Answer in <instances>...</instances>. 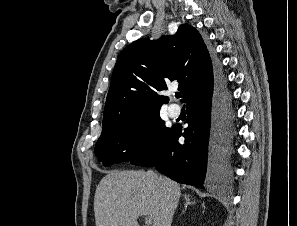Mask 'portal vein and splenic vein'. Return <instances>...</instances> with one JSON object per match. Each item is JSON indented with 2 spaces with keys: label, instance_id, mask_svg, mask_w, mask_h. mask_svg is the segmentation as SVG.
Listing matches in <instances>:
<instances>
[{
  "label": "portal vein and splenic vein",
  "instance_id": "obj_1",
  "mask_svg": "<svg viewBox=\"0 0 297 226\" xmlns=\"http://www.w3.org/2000/svg\"><path fill=\"white\" fill-rule=\"evenodd\" d=\"M151 222H152V218H151V216H147V217L145 218V223H146V224H151Z\"/></svg>",
  "mask_w": 297,
  "mask_h": 226
}]
</instances>
